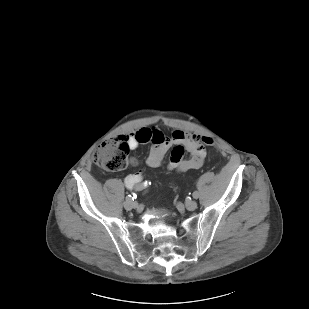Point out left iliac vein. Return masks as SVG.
<instances>
[{"mask_svg": "<svg viewBox=\"0 0 309 309\" xmlns=\"http://www.w3.org/2000/svg\"><path fill=\"white\" fill-rule=\"evenodd\" d=\"M198 206V203L195 201V200H188L186 203H185V207L190 210V211H193L197 208Z\"/></svg>", "mask_w": 309, "mask_h": 309, "instance_id": "obj_1", "label": "left iliac vein"}]
</instances>
